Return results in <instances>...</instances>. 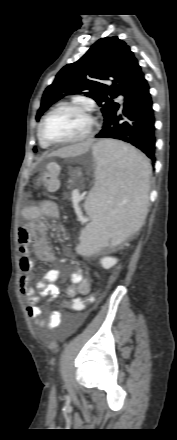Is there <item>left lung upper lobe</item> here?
I'll return each instance as SVG.
<instances>
[{"mask_svg":"<svg viewBox=\"0 0 177 440\" xmlns=\"http://www.w3.org/2000/svg\"><path fill=\"white\" fill-rule=\"evenodd\" d=\"M130 47L117 36L105 37L94 43L76 62L67 64L44 91L36 120L64 95L83 93L101 107L106 121L117 109L112 98L125 95L141 73ZM112 80L108 86L105 80ZM36 152V149L34 148Z\"/></svg>","mask_w":177,"mask_h":440,"instance_id":"5c2ea615","label":"left lung upper lobe"}]
</instances>
